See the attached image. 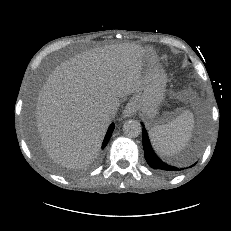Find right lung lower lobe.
Here are the masks:
<instances>
[{
  "label": "right lung lower lobe",
  "instance_id": "98d812e1",
  "mask_svg": "<svg viewBox=\"0 0 231 231\" xmlns=\"http://www.w3.org/2000/svg\"><path fill=\"white\" fill-rule=\"evenodd\" d=\"M113 130H114V125L112 124V125L109 127L108 132H107V134H106V136H105V139H104L102 148H104V147L107 145V143H108V141H109V139H110V137H111V135H112Z\"/></svg>",
  "mask_w": 231,
  "mask_h": 231
}]
</instances>
